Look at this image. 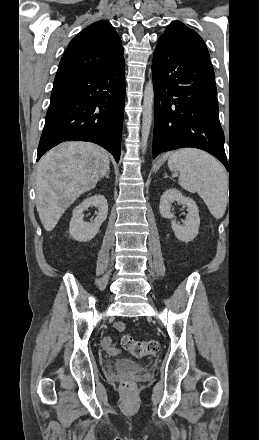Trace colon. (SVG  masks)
Here are the masks:
<instances>
[{
  "mask_svg": "<svg viewBox=\"0 0 259 440\" xmlns=\"http://www.w3.org/2000/svg\"><path fill=\"white\" fill-rule=\"evenodd\" d=\"M121 343L125 350L137 358L156 354L159 350V343L156 340L138 341L129 335H123ZM121 387L124 390H130L133 384L131 381L124 380Z\"/></svg>",
  "mask_w": 259,
  "mask_h": 440,
  "instance_id": "colon-1",
  "label": "colon"
}]
</instances>
